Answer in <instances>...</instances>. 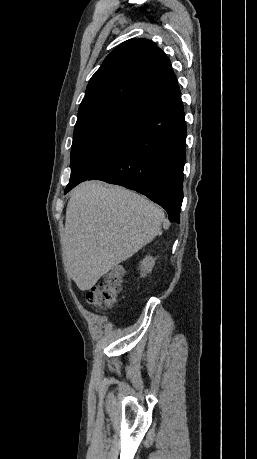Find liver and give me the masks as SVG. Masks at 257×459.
<instances>
[{"label": "liver", "mask_w": 257, "mask_h": 459, "mask_svg": "<svg viewBox=\"0 0 257 459\" xmlns=\"http://www.w3.org/2000/svg\"><path fill=\"white\" fill-rule=\"evenodd\" d=\"M163 211L145 197L119 186L85 182L66 208L63 254L78 288L91 289L119 263L161 232Z\"/></svg>", "instance_id": "6515ba94"}]
</instances>
